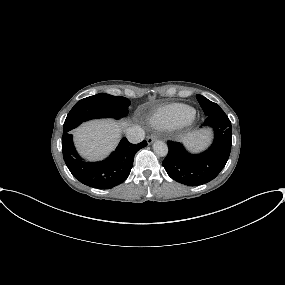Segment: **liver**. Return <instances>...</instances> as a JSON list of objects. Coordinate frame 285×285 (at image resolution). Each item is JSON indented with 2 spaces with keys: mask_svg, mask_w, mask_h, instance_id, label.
<instances>
[{
  "mask_svg": "<svg viewBox=\"0 0 285 285\" xmlns=\"http://www.w3.org/2000/svg\"><path fill=\"white\" fill-rule=\"evenodd\" d=\"M127 126L124 121L118 123L109 119L84 123L73 131L77 149L90 161L100 160L116 148L121 129ZM205 139L206 136L201 133H191L185 137V141L196 146L202 144Z\"/></svg>",
  "mask_w": 285,
  "mask_h": 285,
  "instance_id": "liver-1",
  "label": "liver"
}]
</instances>
